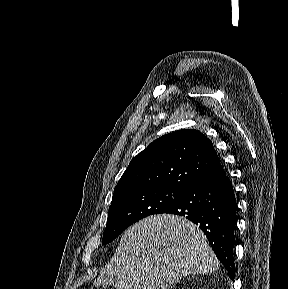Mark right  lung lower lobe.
Returning <instances> with one entry per match:
<instances>
[{
  "label": "right lung lower lobe",
  "instance_id": "1",
  "mask_svg": "<svg viewBox=\"0 0 288 289\" xmlns=\"http://www.w3.org/2000/svg\"><path fill=\"white\" fill-rule=\"evenodd\" d=\"M165 213L185 216L200 225L231 279L235 278L236 198L221 163L187 187L180 200Z\"/></svg>",
  "mask_w": 288,
  "mask_h": 289
}]
</instances>
